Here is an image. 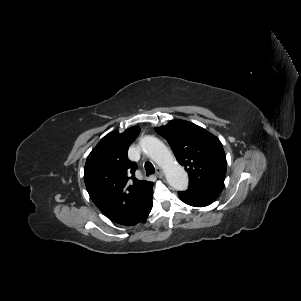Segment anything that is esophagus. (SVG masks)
Returning <instances> with one entry per match:
<instances>
[{"instance_id": "obj_1", "label": "esophagus", "mask_w": 301, "mask_h": 301, "mask_svg": "<svg viewBox=\"0 0 301 301\" xmlns=\"http://www.w3.org/2000/svg\"><path fill=\"white\" fill-rule=\"evenodd\" d=\"M163 174H164L163 170L160 167H157L155 175L158 176V177H162Z\"/></svg>"}]
</instances>
